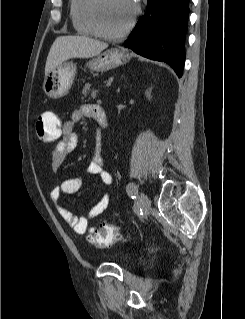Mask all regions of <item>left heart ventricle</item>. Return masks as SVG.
<instances>
[{"label": "left heart ventricle", "instance_id": "obj_1", "mask_svg": "<svg viewBox=\"0 0 245 319\" xmlns=\"http://www.w3.org/2000/svg\"><path fill=\"white\" fill-rule=\"evenodd\" d=\"M132 13L128 0H103L100 20L105 30L119 32L129 23Z\"/></svg>", "mask_w": 245, "mask_h": 319}]
</instances>
